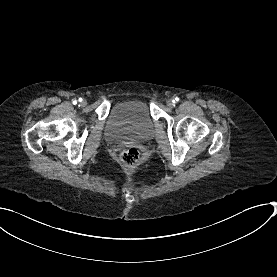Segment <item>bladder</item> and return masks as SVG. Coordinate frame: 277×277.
Here are the masks:
<instances>
[{"instance_id": "1", "label": "bladder", "mask_w": 277, "mask_h": 277, "mask_svg": "<svg viewBox=\"0 0 277 277\" xmlns=\"http://www.w3.org/2000/svg\"><path fill=\"white\" fill-rule=\"evenodd\" d=\"M104 123L119 143L147 142L155 131V121L148 105L135 98H126L112 105L105 115Z\"/></svg>"}]
</instances>
